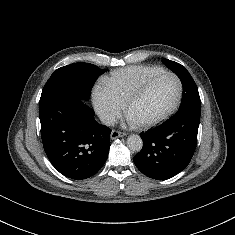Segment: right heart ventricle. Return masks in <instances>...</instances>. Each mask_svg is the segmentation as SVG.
Returning <instances> with one entry per match:
<instances>
[{"label":"right heart ventricle","instance_id":"1","mask_svg":"<svg viewBox=\"0 0 235 235\" xmlns=\"http://www.w3.org/2000/svg\"><path fill=\"white\" fill-rule=\"evenodd\" d=\"M165 71L153 65H134L112 72L104 79L105 85L124 104L129 97L151 76Z\"/></svg>","mask_w":235,"mask_h":235}]
</instances>
